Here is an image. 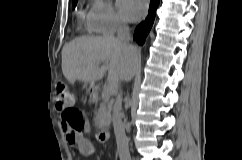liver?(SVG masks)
<instances>
[{
  "label": "liver",
  "instance_id": "liver-1",
  "mask_svg": "<svg viewBox=\"0 0 242 160\" xmlns=\"http://www.w3.org/2000/svg\"><path fill=\"white\" fill-rule=\"evenodd\" d=\"M123 50L125 47L111 36L79 37L62 49V72L71 84L79 80L93 85L104 77L105 69L100 65L109 64L108 85L113 93L120 82L117 79L118 64L121 63Z\"/></svg>",
  "mask_w": 242,
  "mask_h": 160
}]
</instances>
